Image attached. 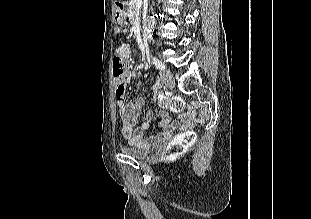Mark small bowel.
Returning <instances> with one entry per match:
<instances>
[{
	"mask_svg": "<svg viewBox=\"0 0 311 219\" xmlns=\"http://www.w3.org/2000/svg\"><path fill=\"white\" fill-rule=\"evenodd\" d=\"M117 55L123 58H129L130 48L127 44L121 45L117 49ZM126 84H129L132 80L131 71H127L124 76ZM144 107V100L142 98H136L133 101L128 102L123 109V117L121 120L120 133L124 139L131 144H140L143 142V133L151 128V124L154 121L155 114L152 111H148L145 114L144 121L140 127L137 128L139 116ZM161 121L160 127L163 129L162 137L171 136L176 130L183 128L182 125L177 122L172 123L169 115L160 114ZM160 136H152L150 141L158 139Z\"/></svg>",
	"mask_w": 311,
	"mask_h": 219,
	"instance_id": "small-bowel-1",
	"label": "small bowel"
}]
</instances>
